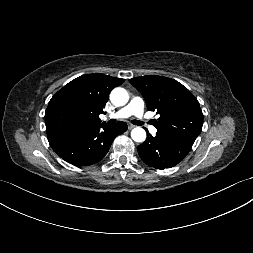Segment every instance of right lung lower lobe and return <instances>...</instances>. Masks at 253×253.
I'll list each match as a JSON object with an SVG mask.
<instances>
[{
    "label": "right lung lower lobe",
    "mask_w": 253,
    "mask_h": 253,
    "mask_svg": "<svg viewBox=\"0 0 253 253\" xmlns=\"http://www.w3.org/2000/svg\"><path fill=\"white\" fill-rule=\"evenodd\" d=\"M126 130L127 124L119 121L112 127L100 124L48 141L66 162L75 166H89L102 160L115 137Z\"/></svg>",
    "instance_id": "98d812e1"
}]
</instances>
